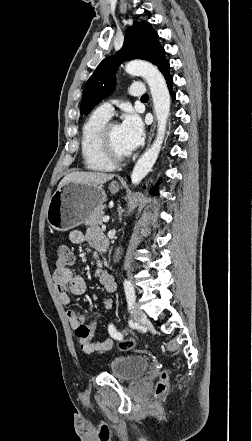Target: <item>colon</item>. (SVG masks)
<instances>
[{
  "label": "colon",
  "mask_w": 252,
  "mask_h": 441,
  "mask_svg": "<svg viewBox=\"0 0 252 441\" xmlns=\"http://www.w3.org/2000/svg\"><path fill=\"white\" fill-rule=\"evenodd\" d=\"M57 258H56V266L57 267H66L71 264L73 257L71 250L66 245H59L56 250ZM99 318L91 323L90 325H84L79 328L76 332V337L80 343L81 349L85 352V346L89 342V339L94 334L95 330L98 327ZM137 346V343L134 339L130 338L120 344V348L123 350H130ZM168 387V371L165 370L160 378V381L157 384L156 393L158 395L164 393Z\"/></svg>",
  "instance_id": "1"
}]
</instances>
